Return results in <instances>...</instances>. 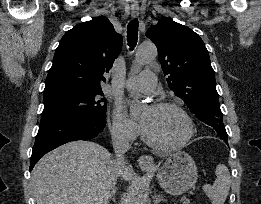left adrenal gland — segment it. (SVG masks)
Segmentation results:
<instances>
[{
    "mask_svg": "<svg viewBox=\"0 0 261 204\" xmlns=\"http://www.w3.org/2000/svg\"><path fill=\"white\" fill-rule=\"evenodd\" d=\"M161 201H164L162 196L160 194H158V193H155L154 196H153L154 204H159Z\"/></svg>",
    "mask_w": 261,
    "mask_h": 204,
    "instance_id": "obj_1",
    "label": "left adrenal gland"
}]
</instances>
